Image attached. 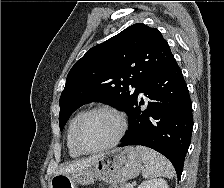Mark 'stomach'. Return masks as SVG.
Segmentation results:
<instances>
[{
	"label": "stomach",
	"instance_id": "0dacf381",
	"mask_svg": "<svg viewBox=\"0 0 224 188\" xmlns=\"http://www.w3.org/2000/svg\"><path fill=\"white\" fill-rule=\"evenodd\" d=\"M142 158L133 147L115 148L107 151L91 167L68 174H57L50 188H77L89 185L96 179L110 184L123 183L137 177L141 171Z\"/></svg>",
	"mask_w": 224,
	"mask_h": 188
}]
</instances>
